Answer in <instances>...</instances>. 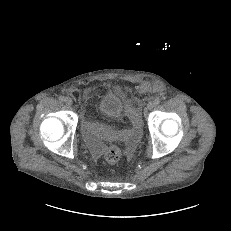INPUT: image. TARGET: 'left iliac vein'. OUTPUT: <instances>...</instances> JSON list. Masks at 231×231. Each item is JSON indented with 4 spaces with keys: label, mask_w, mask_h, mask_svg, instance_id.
Listing matches in <instances>:
<instances>
[{
    "label": "left iliac vein",
    "mask_w": 231,
    "mask_h": 231,
    "mask_svg": "<svg viewBox=\"0 0 231 231\" xmlns=\"http://www.w3.org/2000/svg\"><path fill=\"white\" fill-rule=\"evenodd\" d=\"M155 107V103L153 101L148 102L147 109L152 110Z\"/></svg>",
    "instance_id": "4c4485c4"
}]
</instances>
